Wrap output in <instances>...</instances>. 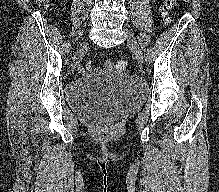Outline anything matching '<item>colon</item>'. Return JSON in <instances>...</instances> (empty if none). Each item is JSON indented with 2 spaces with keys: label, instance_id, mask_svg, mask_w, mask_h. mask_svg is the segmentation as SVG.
<instances>
[{
  "label": "colon",
  "instance_id": "obj_1",
  "mask_svg": "<svg viewBox=\"0 0 219 192\" xmlns=\"http://www.w3.org/2000/svg\"><path fill=\"white\" fill-rule=\"evenodd\" d=\"M36 4L42 6H49L51 0H34ZM177 0H163L160 5V13L163 16L164 20L167 22L169 20V13L171 9L176 4ZM108 64L115 68L119 73H124L129 65L127 60H118L116 62L109 61Z\"/></svg>",
  "mask_w": 219,
  "mask_h": 192
}]
</instances>
